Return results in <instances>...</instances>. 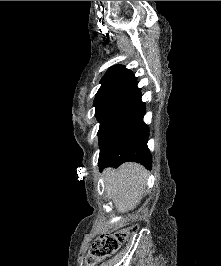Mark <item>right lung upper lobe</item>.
<instances>
[{
	"mask_svg": "<svg viewBox=\"0 0 221 266\" xmlns=\"http://www.w3.org/2000/svg\"><path fill=\"white\" fill-rule=\"evenodd\" d=\"M99 91L117 87H137L134 74L122 65L111 67L100 81Z\"/></svg>",
	"mask_w": 221,
	"mask_h": 266,
	"instance_id": "right-lung-upper-lobe-1",
	"label": "right lung upper lobe"
}]
</instances>
